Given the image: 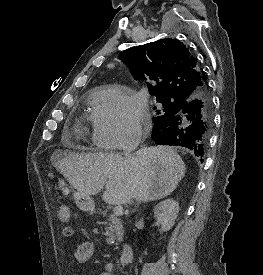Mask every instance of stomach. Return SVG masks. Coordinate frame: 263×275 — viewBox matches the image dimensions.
<instances>
[{
	"mask_svg": "<svg viewBox=\"0 0 263 275\" xmlns=\"http://www.w3.org/2000/svg\"><path fill=\"white\" fill-rule=\"evenodd\" d=\"M58 189L63 195H68L71 192V188L61 179L58 182ZM73 198L80 210L85 212H93L95 210L94 201L90 196L84 195L79 191H74Z\"/></svg>",
	"mask_w": 263,
	"mask_h": 275,
	"instance_id": "1",
	"label": "stomach"
}]
</instances>
